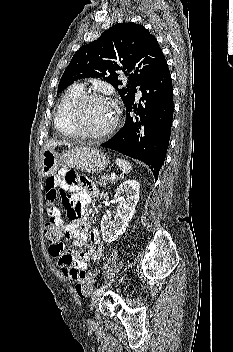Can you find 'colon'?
I'll list each match as a JSON object with an SVG mask.
<instances>
[{
  "label": "colon",
  "instance_id": "1",
  "mask_svg": "<svg viewBox=\"0 0 233 352\" xmlns=\"http://www.w3.org/2000/svg\"><path fill=\"white\" fill-rule=\"evenodd\" d=\"M44 234L49 242L57 244L59 246H65L66 236L63 230L50 222H46L44 226ZM97 271L80 272L78 274L77 283L75 290L80 298H86L89 296L92 285L96 280Z\"/></svg>",
  "mask_w": 233,
  "mask_h": 352
}]
</instances>
